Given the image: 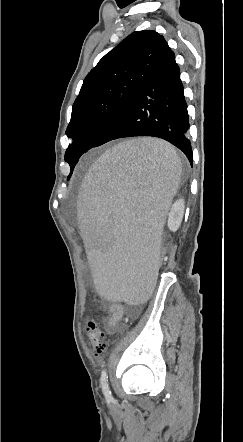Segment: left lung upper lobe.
I'll return each mask as SVG.
<instances>
[{"mask_svg": "<svg viewBox=\"0 0 243 442\" xmlns=\"http://www.w3.org/2000/svg\"><path fill=\"white\" fill-rule=\"evenodd\" d=\"M166 47L167 42L156 31L134 32L89 72L66 130L73 140L65 153L71 173L80 156L106 133Z\"/></svg>", "mask_w": 243, "mask_h": 442, "instance_id": "1", "label": "left lung upper lobe"}]
</instances>
